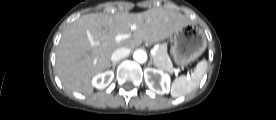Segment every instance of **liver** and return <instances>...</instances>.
I'll list each match as a JSON object with an SVG mask.
<instances>
[{"mask_svg": "<svg viewBox=\"0 0 276 120\" xmlns=\"http://www.w3.org/2000/svg\"><path fill=\"white\" fill-rule=\"evenodd\" d=\"M191 23L183 14L163 7L142 13L83 15L62 34L57 49V74L65 88L90 95L93 93L91 79L110 67L115 50L165 40ZM132 25H136V30H131ZM132 31L133 37L115 41L117 35Z\"/></svg>", "mask_w": 276, "mask_h": 120, "instance_id": "obj_1", "label": "liver"}]
</instances>
